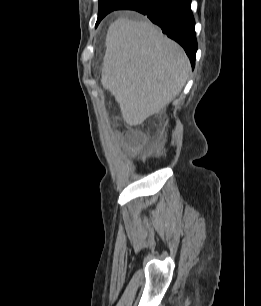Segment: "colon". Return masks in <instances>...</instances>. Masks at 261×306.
<instances>
[{
  "label": "colon",
  "mask_w": 261,
  "mask_h": 306,
  "mask_svg": "<svg viewBox=\"0 0 261 306\" xmlns=\"http://www.w3.org/2000/svg\"><path fill=\"white\" fill-rule=\"evenodd\" d=\"M129 144H130L131 149L135 150L140 144V141L138 139H130Z\"/></svg>",
  "instance_id": "obj_1"
}]
</instances>
